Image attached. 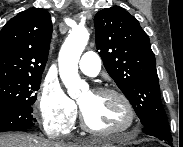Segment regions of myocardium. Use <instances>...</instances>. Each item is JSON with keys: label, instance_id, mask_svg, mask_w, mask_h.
I'll return each instance as SVG.
<instances>
[{"label": "myocardium", "instance_id": "myocardium-1", "mask_svg": "<svg viewBox=\"0 0 183 147\" xmlns=\"http://www.w3.org/2000/svg\"><path fill=\"white\" fill-rule=\"evenodd\" d=\"M92 92L97 95H113V96L119 98L122 101V103L124 104V106L126 107V110L128 112V116H129V120H128V124L124 128H121V129H108V130L96 129L89 124V122L85 116V113H84L82 107L80 106V121H81V126L85 131H87L91 134H94V135L112 136V135H120V134L129 133L136 127L137 115H136L135 108H134L131 100L124 93H122L121 91H119L117 89L108 88V87L95 88L92 90Z\"/></svg>", "mask_w": 183, "mask_h": 147}]
</instances>
